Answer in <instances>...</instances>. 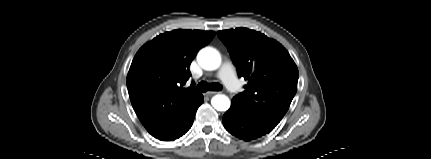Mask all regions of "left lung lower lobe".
I'll list each match as a JSON object with an SVG mask.
<instances>
[{"label":"left lung lower lobe","mask_w":431,"mask_h":159,"mask_svg":"<svg viewBox=\"0 0 431 159\" xmlns=\"http://www.w3.org/2000/svg\"><path fill=\"white\" fill-rule=\"evenodd\" d=\"M279 122L269 116L251 112L234 100L223 116L226 130L245 141L262 137L272 131Z\"/></svg>","instance_id":"obj_1"}]
</instances>
